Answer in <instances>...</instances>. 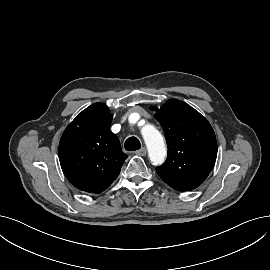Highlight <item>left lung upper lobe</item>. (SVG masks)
I'll list each match as a JSON object with an SVG mask.
<instances>
[{"label": "left lung upper lobe", "mask_w": 270, "mask_h": 270, "mask_svg": "<svg viewBox=\"0 0 270 270\" xmlns=\"http://www.w3.org/2000/svg\"><path fill=\"white\" fill-rule=\"evenodd\" d=\"M156 111L165 132L166 162L156 168L160 178L178 191L198 187L213 169L217 142L210 123L188 104L171 99Z\"/></svg>", "instance_id": "5c2ea615"}]
</instances>
